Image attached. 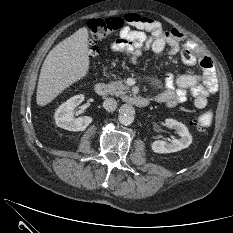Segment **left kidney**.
Wrapping results in <instances>:
<instances>
[{
	"label": "left kidney",
	"mask_w": 233,
	"mask_h": 233,
	"mask_svg": "<svg viewBox=\"0 0 233 233\" xmlns=\"http://www.w3.org/2000/svg\"><path fill=\"white\" fill-rule=\"evenodd\" d=\"M165 125L170 127L178 133L180 139H173L171 142H166L163 140L154 141L151 144V149L155 153L167 154L180 151L189 147L192 143V136L189 133L188 128L174 119H166Z\"/></svg>",
	"instance_id": "left-kidney-1"
}]
</instances>
